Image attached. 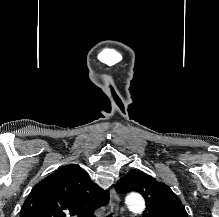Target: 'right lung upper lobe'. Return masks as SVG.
I'll return each mask as SVG.
<instances>
[{"instance_id":"right-lung-upper-lobe-1","label":"right lung upper lobe","mask_w":219,"mask_h":217,"mask_svg":"<svg viewBox=\"0 0 219 217\" xmlns=\"http://www.w3.org/2000/svg\"><path fill=\"white\" fill-rule=\"evenodd\" d=\"M109 194L79 165H66L41 180L24 202L20 217H95Z\"/></svg>"}]
</instances>
